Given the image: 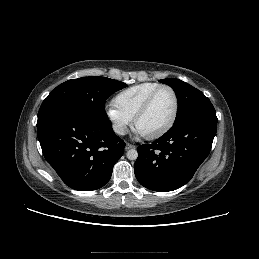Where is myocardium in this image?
<instances>
[{"mask_svg":"<svg viewBox=\"0 0 259 259\" xmlns=\"http://www.w3.org/2000/svg\"><path fill=\"white\" fill-rule=\"evenodd\" d=\"M163 89H167L169 90L173 97H174V110H173V114L169 120V122L159 131L149 134V135H143L145 138L150 139V140H154V139H158L160 137H162L163 135H165L175 124L177 117H178V113H179V97L178 94L176 92V90L169 86V85H160L158 86L156 89H154L149 95L148 97L145 99V101L143 102V104L141 105V107L139 108V110L137 111V113L135 114L134 118H133V125L134 127L137 129V124L140 121V119L142 117L145 116V114L148 112V110L150 109V106L155 98V96L157 95V93Z\"/></svg>","mask_w":259,"mask_h":259,"instance_id":"myocardium-1","label":"myocardium"}]
</instances>
